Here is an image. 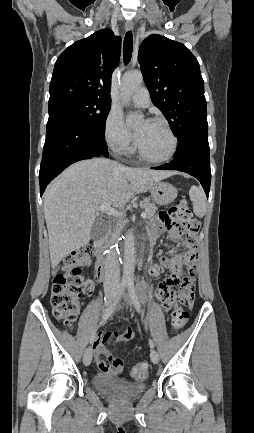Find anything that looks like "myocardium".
Segmentation results:
<instances>
[{
  "label": "myocardium",
  "mask_w": 254,
  "mask_h": 433,
  "mask_svg": "<svg viewBox=\"0 0 254 433\" xmlns=\"http://www.w3.org/2000/svg\"><path fill=\"white\" fill-rule=\"evenodd\" d=\"M150 121L154 122V123L161 124L166 129V131L168 132V134L170 135V137L172 139L171 150L166 156H164L162 158H151L142 150V148L140 147V145L138 143V140L136 139L135 140L136 151H137L138 155L140 156V158H142L146 162L154 163V164H160V163L168 162L175 156V154L177 152L178 138L166 120L156 117V118L150 119Z\"/></svg>",
  "instance_id": "myocardium-1"
}]
</instances>
